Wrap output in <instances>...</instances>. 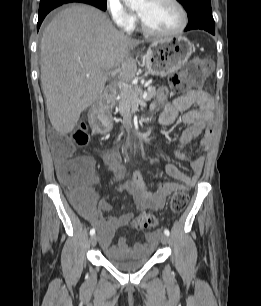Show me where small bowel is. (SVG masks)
Masks as SVG:
<instances>
[{
  "label": "small bowel",
  "mask_w": 261,
  "mask_h": 306,
  "mask_svg": "<svg viewBox=\"0 0 261 306\" xmlns=\"http://www.w3.org/2000/svg\"><path fill=\"white\" fill-rule=\"evenodd\" d=\"M168 96V89L165 87L160 88L157 93V101L151 106V109L153 110L158 106H164L159 117V124L161 126H168L179 117L186 125V129L180 138L179 146L174 154L177 159L190 162L192 173L190 175L185 174L176 165L168 164L166 166V173L177 180V182L155 180V190L152 191L142 178L141 173L134 171L131 180L121 184L119 189L129 191L135 199L137 208L140 210H162L165 207L168 196L178 190L192 187L196 184L203 170L204 154L209 150L214 134L213 101L208 94L199 90L191 93L186 98L177 97L171 102H167ZM193 105L199 106V111H188ZM199 137L201 138L200 148L203 154L194 159H190L182 151V148ZM82 158L88 165L89 175L87 181L88 195L81 206V212L96 227L102 248L107 253H116L119 247H124V244L112 245L115 232L131 220L132 214H122L119 216L107 215L112 208L111 204L105 199L97 201V196L92 189V186L99 181L95 173V161L91 157ZM103 161L107 170L117 181H121L124 178L126 170L121 163V154L117 148L108 150L103 156ZM66 163L65 161L57 159V170ZM146 238V245L142 246L137 244L134 248L139 250L154 247L158 242L159 233H149Z\"/></svg>",
  "instance_id": "c3829d8e"
}]
</instances>
